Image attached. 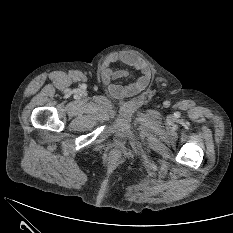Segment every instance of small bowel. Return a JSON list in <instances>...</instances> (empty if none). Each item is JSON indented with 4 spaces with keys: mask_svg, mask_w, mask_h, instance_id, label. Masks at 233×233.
<instances>
[{
    "mask_svg": "<svg viewBox=\"0 0 233 233\" xmlns=\"http://www.w3.org/2000/svg\"><path fill=\"white\" fill-rule=\"evenodd\" d=\"M116 63H122L132 67L141 74L130 84L124 86L117 84L116 80L126 77L127 71L113 70L112 65ZM100 75L108 92L114 98L132 97L140 93L148 86L151 79V72L148 65L138 56L128 52H119L109 55L101 66Z\"/></svg>",
    "mask_w": 233,
    "mask_h": 233,
    "instance_id": "small-bowel-1",
    "label": "small bowel"
}]
</instances>
